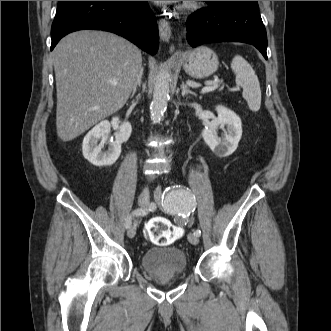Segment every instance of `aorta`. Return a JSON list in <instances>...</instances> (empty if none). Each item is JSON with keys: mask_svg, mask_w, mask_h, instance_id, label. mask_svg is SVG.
Wrapping results in <instances>:
<instances>
[{"mask_svg": "<svg viewBox=\"0 0 331 331\" xmlns=\"http://www.w3.org/2000/svg\"><path fill=\"white\" fill-rule=\"evenodd\" d=\"M169 82V72L162 69L157 75L153 91V100L150 106L151 119L153 121H159L167 108L170 91Z\"/></svg>", "mask_w": 331, "mask_h": 331, "instance_id": "aorta-1", "label": "aorta"}]
</instances>
